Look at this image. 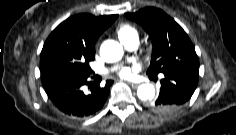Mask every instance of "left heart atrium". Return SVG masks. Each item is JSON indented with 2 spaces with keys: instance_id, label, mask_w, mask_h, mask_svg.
<instances>
[{
  "instance_id": "1",
  "label": "left heart atrium",
  "mask_w": 236,
  "mask_h": 135,
  "mask_svg": "<svg viewBox=\"0 0 236 135\" xmlns=\"http://www.w3.org/2000/svg\"><path fill=\"white\" fill-rule=\"evenodd\" d=\"M119 74H120V76H122V77H127V76L130 75V69L127 68V67H125V68H123L122 70H120Z\"/></svg>"
}]
</instances>
